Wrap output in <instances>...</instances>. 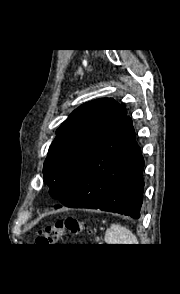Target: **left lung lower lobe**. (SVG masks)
<instances>
[{"label": "left lung lower lobe", "mask_w": 180, "mask_h": 294, "mask_svg": "<svg viewBox=\"0 0 180 294\" xmlns=\"http://www.w3.org/2000/svg\"><path fill=\"white\" fill-rule=\"evenodd\" d=\"M143 167L132 120L125 112L60 202L67 207L100 209L138 219Z\"/></svg>", "instance_id": "obj_1"}]
</instances>
